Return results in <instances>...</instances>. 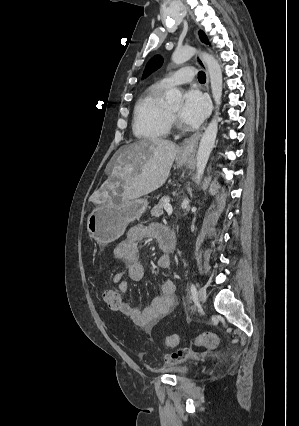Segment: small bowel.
I'll return each mask as SVG.
<instances>
[{
    "label": "small bowel",
    "instance_id": "c3829d8e",
    "mask_svg": "<svg viewBox=\"0 0 299 426\" xmlns=\"http://www.w3.org/2000/svg\"><path fill=\"white\" fill-rule=\"evenodd\" d=\"M164 229L165 227L160 224L134 226L114 250L115 257L125 266L123 271L116 273L112 278V283L121 289L125 296L120 312L129 317L133 323L146 330H151L157 322L174 310L176 306V286L171 280L163 282L160 287V294L153 298L148 307L140 309L132 307L126 301L128 279L139 281L144 275L143 266L138 258L139 243L145 238H151L160 244ZM157 266L161 269L169 268L171 266L170 257L168 255L160 256L157 260ZM188 356L189 352L180 350L168 355L166 362L168 364H176L184 361Z\"/></svg>",
    "mask_w": 299,
    "mask_h": 426
}]
</instances>
